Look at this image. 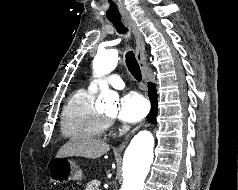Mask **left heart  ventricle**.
Listing matches in <instances>:
<instances>
[{
    "mask_svg": "<svg viewBox=\"0 0 238 190\" xmlns=\"http://www.w3.org/2000/svg\"><path fill=\"white\" fill-rule=\"evenodd\" d=\"M106 115L114 116L116 114V108H111L105 112Z\"/></svg>",
    "mask_w": 238,
    "mask_h": 190,
    "instance_id": "obj_1",
    "label": "left heart ventricle"
}]
</instances>
